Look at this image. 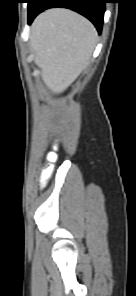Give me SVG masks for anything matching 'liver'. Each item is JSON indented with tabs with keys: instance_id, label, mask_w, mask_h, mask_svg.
<instances>
[{
	"instance_id": "liver-1",
	"label": "liver",
	"mask_w": 136,
	"mask_h": 296,
	"mask_svg": "<svg viewBox=\"0 0 136 296\" xmlns=\"http://www.w3.org/2000/svg\"><path fill=\"white\" fill-rule=\"evenodd\" d=\"M97 42V31L83 16L64 8L39 14L31 25L30 46L44 84L62 93L85 69Z\"/></svg>"
}]
</instances>
